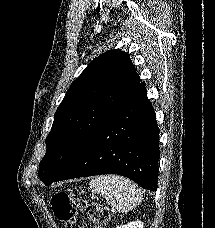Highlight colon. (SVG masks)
Instances as JSON below:
<instances>
[{"instance_id":"obj_1","label":"colon","mask_w":215,"mask_h":228,"mask_svg":"<svg viewBox=\"0 0 215 228\" xmlns=\"http://www.w3.org/2000/svg\"><path fill=\"white\" fill-rule=\"evenodd\" d=\"M53 212L60 222L73 224L77 220L78 207L87 209L93 228L107 226L110 213L107 207L101 203L87 204L82 201L74 204L67 193L58 192L51 198Z\"/></svg>"}]
</instances>
